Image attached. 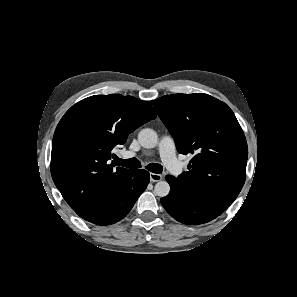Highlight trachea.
I'll use <instances>...</instances> for the list:
<instances>
[{
	"instance_id": "obj_1",
	"label": "trachea",
	"mask_w": 297,
	"mask_h": 297,
	"mask_svg": "<svg viewBox=\"0 0 297 297\" xmlns=\"http://www.w3.org/2000/svg\"><path fill=\"white\" fill-rule=\"evenodd\" d=\"M115 162H116V165L132 168V169L140 168L141 166L140 161L136 158H130L127 160L117 158ZM146 169L156 174H160L163 171L162 165L158 163H150L146 166Z\"/></svg>"
}]
</instances>
